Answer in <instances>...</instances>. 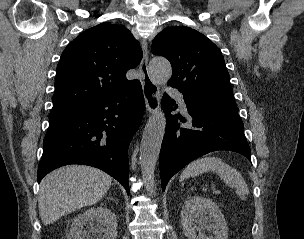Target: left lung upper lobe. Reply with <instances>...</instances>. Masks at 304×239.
<instances>
[{
    "label": "left lung upper lobe",
    "mask_w": 304,
    "mask_h": 239,
    "mask_svg": "<svg viewBox=\"0 0 304 239\" xmlns=\"http://www.w3.org/2000/svg\"><path fill=\"white\" fill-rule=\"evenodd\" d=\"M152 52L170 61L168 85L186 102L237 114L224 58L206 36L189 27H167L153 40Z\"/></svg>",
    "instance_id": "obj_1"
}]
</instances>
